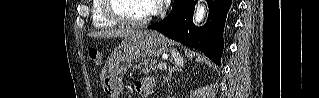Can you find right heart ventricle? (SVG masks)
Here are the masks:
<instances>
[{"label":"right heart ventricle","instance_id":"e07e8e85","mask_svg":"<svg viewBox=\"0 0 319 98\" xmlns=\"http://www.w3.org/2000/svg\"><path fill=\"white\" fill-rule=\"evenodd\" d=\"M104 0H94L91 5V20L92 25L96 29H106L115 26V24L110 21L104 12Z\"/></svg>","mask_w":319,"mask_h":98}]
</instances>
